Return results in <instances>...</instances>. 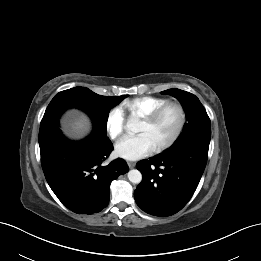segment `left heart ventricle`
<instances>
[{
  "label": "left heart ventricle",
  "mask_w": 261,
  "mask_h": 261,
  "mask_svg": "<svg viewBox=\"0 0 261 261\" xmlns=\"http://www.w3.org/2000/svg\"><path fill=\"white\" fill-rule=\"evenodd\" d=\"M177 123V112L174 109H169L154 124H146L140 121L136 128V132L145 134L154 148L162 142L166 141L172 135L177 126Z\"/></svg>",
  "instance_id": "obj_1"
}]
</instances>
